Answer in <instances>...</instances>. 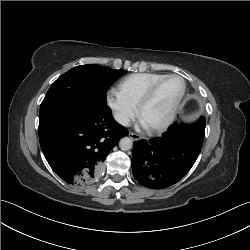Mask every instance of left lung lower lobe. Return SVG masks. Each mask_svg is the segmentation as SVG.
Returning <instances> with one entry per match:
<instances>
[{
	"instance_id": "obj_1",
	"label": "left lung lower lobe",
	"mask_w": 250,
	"mask_h": 250,
	"mask_svg": "<svg viewBox=\"0 0 250 250\" xmlns=\"http://www.w3.org/2000/svg\"><path fill=\"white\" fill-rule=\"evenodd\" d=\"M205 118L194 124L172 125L162 137L134 142L132 171L139 184L154 189L171 186L195 163L203 145Z\"/></svg>"
}]
</instances>
